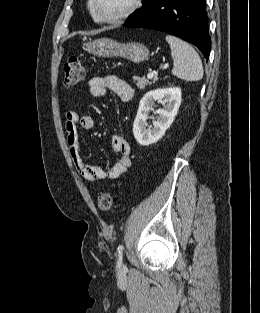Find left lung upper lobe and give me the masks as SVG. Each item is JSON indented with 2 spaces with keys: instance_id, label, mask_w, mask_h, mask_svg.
<instances>
[{
  "instance_id": "obj_1",
  "label": "left lung upper lobe",
  "mask_w": 260,
  "mask_h": 313,
  "mask_svg": "<svg viewBox=\"0 0 260 313\" xmlns=\"http://www.w3.org/2000/svg\"><path fill=\"white\" fill-rule=\"evenodd\" d=\"M149 1H150V0H143V6L141 7V9H142L144 6H146V5L149 3ZM141 9H139L138 11H140ZM138 11L132 13V14L128 17V19H132V18L136 15V13H137Z\"/></svg>"
}]
</instances>
